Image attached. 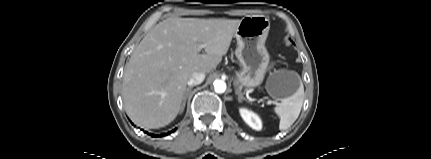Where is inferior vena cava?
Returning <instances> with one entry per match:
<instances>
[{"label": "inferior vena cava", "mask_w": 431, "mask_h": 159, "mask_svg": "<svg viewBox=\"0 0 431 159\" xmlns=\"http://www.w3.org/2000/svg\"><path fill=\"white\" fill-rule=\"evenodd\" d=\"M205 79V74L203 72H193L187 82L189 86H195L201 84Z\"/></svg>", "instance_id": "inferior-vena-cava-1"}]
</instances>
